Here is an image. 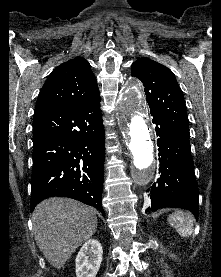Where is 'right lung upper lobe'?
Returning <instances> with one entry per match:
<instances>
[{
  "mask_svg": "<svg viewBox=\"0 0 221 277\" xmlns=\"http://www.w3.org/2000/svg\"><path fill=\"white\" fill-rule=\"evenodd\" d=\"M100 97L90 64L76 57L59 65L49 75L35 107V112L80 106Z\"/></svg>",
  "mask_w": 221,
  "mask_h": 277,
  "instance_id": "right-lung-upper-lobe-1",
  "label": "right lung upper lobe"
}]
</instances>
